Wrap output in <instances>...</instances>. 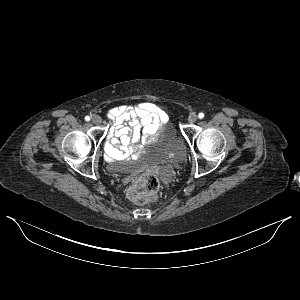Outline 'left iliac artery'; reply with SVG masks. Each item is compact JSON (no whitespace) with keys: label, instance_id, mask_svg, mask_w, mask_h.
Masks as SVG:
<instances>
[{"label":"left iliac artery","instance_id":"44dca946","mask_svg":"<svg viewBox=\"0 0 300 300\" xmlns=\"http://www.w3.org/2000/svg\"><path fill=\"white\" fill-rule=\"evenodd\" d=\"M198 117H199V119H203V118H204V113L200 112V113L198 114Z\"/></svg>","mask_w":300,"mask_h":300}]
</instances>
